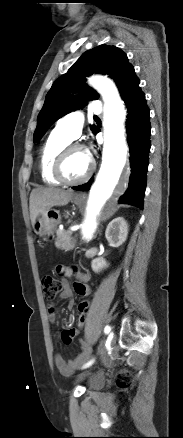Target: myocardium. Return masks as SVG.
<instances>
[{
	"instance_id": "myocardium-1",
	"label": "myocardium",
	"mask_w": 183,
	"mask_h": 438,
	"mask_svg": "<svg viewBox=\"0 0 183 438\" xmlns=\"http://www.w3.org/2000/svg\"><path fill=\"white\" fill-rule=\"evenodd\" d=\"M75 150H83L88 155L87 149L82 144L72 143V144H68L67 146H65L56 156V159L54 161L53 168H52V175L59 182V184L66 185V186H77V185L83 184L91 178V176L95 170V162L92 159V157H90V155H88L89 168H88L86 174L82 178L75 180V181L67 180L63 175V167H64V164H65L67 157L70 155V153H72Z\"/></svg>"
}]
</instances>
